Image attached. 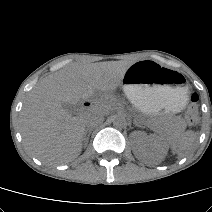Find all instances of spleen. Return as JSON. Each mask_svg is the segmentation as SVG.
Wrapping results in <instances>:
<instances>
[{"label":"spleen","instance_id":"spleen-1","mask_svg":"<svg viewBox=\"0 0 212 212\" xmlns=\"http://www.w3.org/2000/svg\"><path fill=\"white\" fill-rule=\"evenodd\" d=\"M196 133L188 131L185 134L176 136L171 140V149L173 152L183 154L192 146Z\"/></svg>","mask_w":212,"mask_h":212}]
</instances>
